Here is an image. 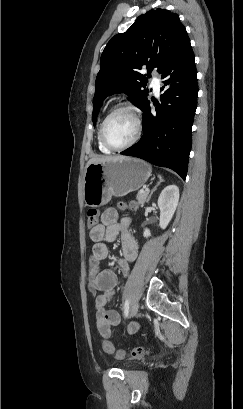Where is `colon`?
Segmentation results:
<instances>
[{"instance_id":"obj_1","label":"colon","mask_w":243,"mask_h":409,"mask_svg":"<svg viewBox=\"0 0 243 409\" xmlns=\"http://www.w3.org/2000/svg\"><path fill=\"white\" fill-rule=\"evenodd\" d=\"M119 207L121 209H130L133 210L135 209L136 205L134 202H131L129 204H123L120 203ZM99 217H100V212L96 208H90L87 212V227L88 229H92L95 226L98 225L99 222ZM102 349L113 356H115L118 359H124V358H129V359H140L144 358L148 355L149 351L143 347H136L132 349L129 352L123 351V350H116L113 345L108 341V340H103L102 341Z\"/></svg>"}]
</instances>
